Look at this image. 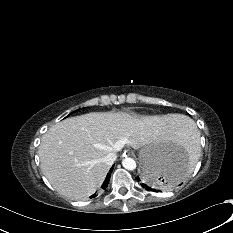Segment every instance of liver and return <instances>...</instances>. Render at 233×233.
I'll return each mask as SVG.
<instances>
[{"label": "liver", "mask_w": 233, "mask_h": 233, "mask_svg": "<svg viewBox=\"0 0 233 233\" xmlns=\"http://www.w3.org/2000/svg\"><path fill=\"white\" fill-rule=\"evenodd\" d=\"M185 116H137L93 112L67 118L43 135L38 154L41 169L61 195L85 199L103 183L110 166L104 157L125 145L139 149L148 142H168Z\"/></svg>", "instance_id": "obj_1"}]
</instances>
